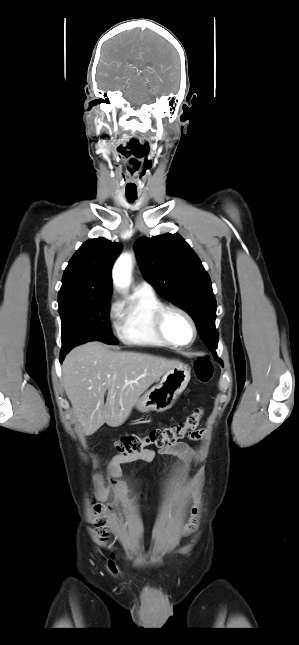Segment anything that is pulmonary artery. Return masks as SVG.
Returning a JSON list of instances; mask_svg holds the SVG:
<instances>
[{
	"instance_id": "1",
	"label": "pulmonary artery",
	"mask_w": 299,
	"mask_h": 645,
	"mask_svg": "<svg viewBox=\"0 0 299 645\" xmlns=\"http://www.w3.org/2000/svg\"><path fill=\"white\" fill-rule=\"evenodd\" d=\"M135 290L143 291V292H148V293H153L154 289L151 284H149L146 281H142L138 283L135 287Z\"/></svg>"
}]
</instances>
